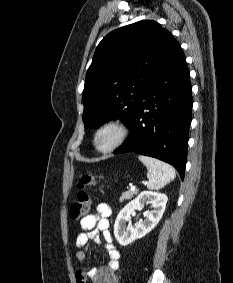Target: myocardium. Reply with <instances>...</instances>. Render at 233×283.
<instances>
[{
  "label": "myocardium",
  "mask_w": 233,
  "mask_h": 283,
  "mask_svg": "<svg viewBox=\"0 0 233 283\" xmlns=\"http://www.w3.org/2000/svg\"><path fill=\"white\" fill-rule=\"evenodd\" d=\"M107 130H111L114 132L115 135L114 140L109 146L102 148L98 145V137L100 136L101 133ZM128 135H129V127L125 121L118 118L109 119L103 122L95 130L92 140L93 146L98 152L102 154H108L117 150L120 146H122L126 141V139L128 138Z\"/></svg>",
  "instance_id": "obj_1"
}]
</instances>
